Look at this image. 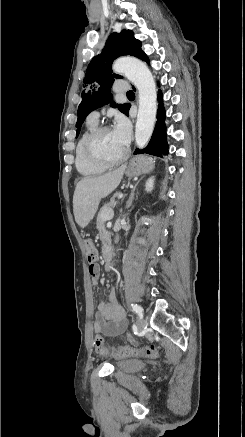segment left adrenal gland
<instances>
[{
  "instance_id": "obj_1",
  "label": "left adrenal gland",
  "mask_w": 245,
  "mask_h": 437,
  "mask_svg": "<svg viewBox=\"0 0 245 437\" xmlns=\"http://www.w3.org/2000/svg\"><path fill=\"white\" fill-rule=\"evenodd\" d=\"M140 180L135 184L134 188L132 189V192L130 194L129 200L126 204V208H130L132 206L133 200H134V196H135V190L137 185L139 184Z\"/></svg>"
}]
</instances>
